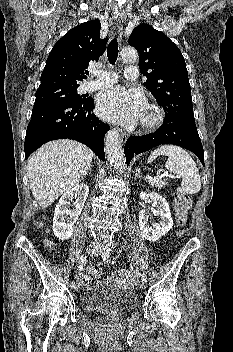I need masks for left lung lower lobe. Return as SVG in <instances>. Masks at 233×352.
Wrapping results in <instances>:
<instances>
[{"label":"left lung lower lobe","mask_w":233,"mask_h":352,"mask_svg":"<svg viewBox=\"0 0 233 352\" xmlns=\"http://www.w3.org/2000/svg\"><path fill=\"white\" fill-rule=\"evenodd\" d=\"M173 144L193 152L204 166V150L195 123L172 122L164 119L161 127L154 133L143 136H130L126 141L124 153L127 165L134 155L148 151L158 145Z\"/></svg>","instance_id":"left-lung-lower-lobe-1"}]
</instances>
